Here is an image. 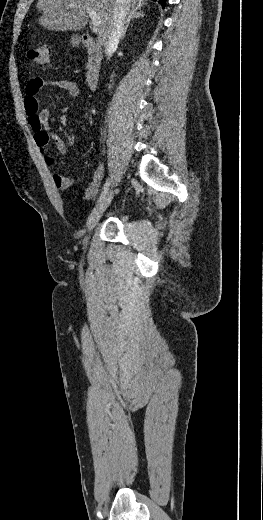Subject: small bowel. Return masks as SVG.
<instances>
[{
    "mask_svg": "<svg viewBox=\"0 0 263 520\" xmlns=\"http://www.w3.org/2000/svg\"><path fill=\"white\" fill-rule=\"evenodd\" d=\"M44 87H55L66 91L71 97L77 98L80 94L77 84L70 80H47L41 77L30 79L25 87V112L33 132L35 143L43 156L46 164L52 169V181L56 188H68L72 180L55 170L56 163L48 151L50 141H53L57 150L61 154H67L69 145L58 135L50 132L46 126L49 121L50 110L39 108L38 94ZM104 175V168L99 164L93 172L90 183L84 192V199L91 200L99 192L101 181Z\"/></svg>",
    "mask_w": 263,
    "mask_h": 520,
    "instance_id": "c3829d8e",
    "label": "small bowel"
}]
</instances>
